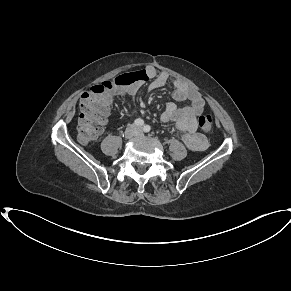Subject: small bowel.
I'll list each match as a JSON object with an SVG mask.
<instances>
[{
	"label": "small bowel",
	"instance_id": "obj_1",
	"mask_svg": "<svg viewBox=\"0 0 291 291\" xmlns=\"http://www.w3.org/2000/svg\"><path fill=\"white\" fill-rule=\"evenodd\" d=\"M139 79L128 86L118 89L116 96L134 97L142 83L152 79L151 89H157L172 82L174 86L173 96L178 101H189L185 107H177L175 103L168 102L161 115L162 122L173 121L177 130L183 132L181 139L184 144L195 151H202L206 148V139L197 132L196 117L204 110V100L193 87L179 80H172L165 72L158 73L152 66H147L138 72ZM110 101V97L106 98ZM132 111L129 112L131 114Z\"/></svg>",
	"mask_w": 291,
	"mask_h": 291
}]
</instances>
